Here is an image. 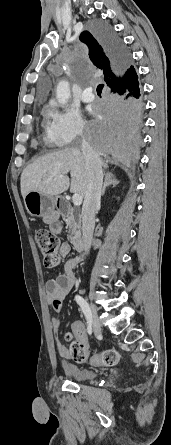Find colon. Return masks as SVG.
<instances>
[{"label":"colon","mask_w":171,"mask_h":445,"mask_svg":"<svg viewBox=\"0 0 171 445\" xmlns=\"http://www.w3.org/2000/svg\"><path fill=\"white\" fill-rule=\"evenodd\" d=\"M36 241L43 255V265L47 268H54L61 263V255L59 253L60 241L57 235L46 229H38L35 232ZM70 338L69 334L66 336ZM72 359L77 362L86 361L89 358L88 348L79 342H73L70 346ZM93 364L99 366H114L120 356L114 349H107L90 357Z\"/></svg>","instance_id":"1"}]
</instances>
